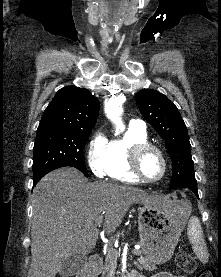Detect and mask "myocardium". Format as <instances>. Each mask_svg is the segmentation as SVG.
I'll return each mask as SVG.
<instances>
[{"mask_svg":"<svg viewBox=\"0 0 221 277\" xmlns=\"http://www.w3.org/2000/svg\"><path fill=\"white\" fill-rule=\"evenodd\" d=\"M149 151L156 152L162 161V165H163L162 173L157 179L146 178L141 170V160L143 156ZM129 167L133 175L139 181L148 183V184H154V183L160 182L165 177L168 169V162L163 150L160 147H158L155 144L146 142V143L136 144L131 148V151L129 154Z\"/></svg>","mask_w":221,"mask_h":277,"instance_id":"obj_1","label":"myocardium"}]
</instances>
